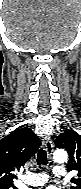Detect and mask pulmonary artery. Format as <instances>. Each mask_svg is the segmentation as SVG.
Returning <instances> with one entry per match:
<instances>
[{"label": "pulmonary artery", "instance_id": "obj_1", "mask_svg": "<svg viewBox=\"0 0 81 189\" xmlns=\"http://www.w3.org/2000/svg\"><path fill=\"white\" fill-rule=\"evenodd\" d=\"M54 176L60 179L65 178V169L61 166H56L53 169ZM48 175L45 173H31L25 180V184L30 186H41L48 181Z\"/></svg>", "mask_w": 81, "mask_h": 189}]
</instances>
